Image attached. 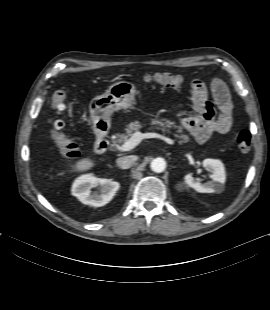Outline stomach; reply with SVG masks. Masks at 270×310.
Here are the masks:
<instances>
[{
	"mask_svg": "<svg viewBox=\"0 0 270 310\" xmlns=\"http://www.w3.org/2000/svg\"><path fill=\"white\" fill-rule=\"evenodd\" d=\"M137 90L133 83L119 81L112 84L102 95L92 99L89 105L91 120L96 128L108 124L113 112L132 106Z\"/></svg>",
	"mask_w": 270,
	"mask_h": 310,
	"instance_id": "1",
	"label": "stomach"
}]
</instances>
